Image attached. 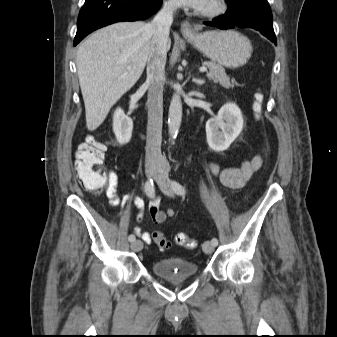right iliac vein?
<instances>
[{
  "label": "right iliac vein",
  "instance_id": "63e3f726",
  "mask_svg": "<svg viewBox=\"0 0 337 337\" xmlns=\"http://www.w3.org/2000/svg\"><path fill=\"white\" fill-rule=\"evenodd\" d=\"M159 172V168L154 164H149L146 167V174L149 178H155ZM142 242L140 240H134L131 243V249L133 251H140L142 249Z\"/></svg>",
  "mask_w": 337,
  "mask_h": 337
}]
</instances>
